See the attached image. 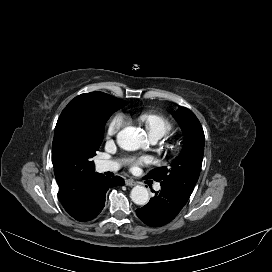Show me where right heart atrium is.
I'll use <instances>...</instances> for the list:
<instances>
[{
  "label": "right heart atrium",
  "mask_w": 272,
  "mask_h": 272,
  "mask_svg": "<svg viewBox=\"0 0 272 272\" xmlns=\"http://www.w3.org/2000/svg\"><path fill=\"white\" fill-rule=\"evenodd\" d=\"M127 123V118L125 115L118 113L116 114L108 124L107 136L113 137L122 127Z\"/></svg>",
  "instance_id": "d8ad5b80"
}]
</instances>
